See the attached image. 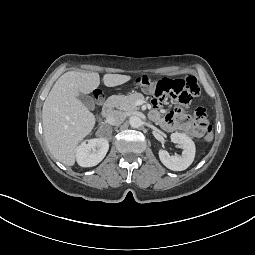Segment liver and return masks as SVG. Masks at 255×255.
<instances>
[{
  "instance_id": "obj_1",
  "label": "liver",
  "mask_w": 255,
  "mask_h": 255,
  "mask_svg": "<svg viewBox=\"0 0 255 255\" xmlns=\"http://www.w3.org/2000/svg\"><path fill=\"white\" fill-rule=\"evenodd\" d=\"M130 80L127 75L105 74V86L114 87ZM100 85L97 72L69 71L54 84L42 109L43 131L49 151L55 159L73 166L76 148L94 128L95 116L79 100Z\"/></svg>"
}]
</instances>
